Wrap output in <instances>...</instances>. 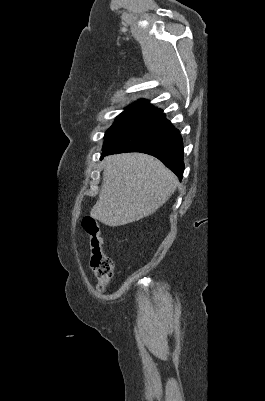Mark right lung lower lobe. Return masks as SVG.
<instances>
[{
  "label": "right lung lower lobe",
  "mask_w": 265,
  "mask_h": 401,
  "mask_svg": "<svg viewBox=\"0 0 265 401\" xmlns=\"http://www.w3.org/2000/svg\"><path fill=\"white\" fill-rule=\"evenodd\" d=\"M122 152H142L158 158L179 180L183 177V141L178 129L163 111L139 122L103 146L102 156Z\"/></svg>",
  "instance_id": "right-lung-lower-lobe-1"
}]
</instances>
